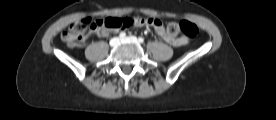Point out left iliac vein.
<instances>
[{
    "label": "left iliac vein",
    "mask_w": 276,
    "mask_h": 120,
    "mask_svg": "<svg viewBox=\"0 0 276 120\" xmlns=\"http://www.w3.org/2000/svg\"><path fill=\"white\" fill-rule=\"evenodd\" d=\"M125 40L132 41L134 43H138V39L135 36H129L126 38H122V41H125Z\"/></svg>",
    "instance_id": "1"
}]
</instances>
